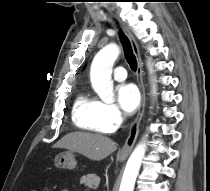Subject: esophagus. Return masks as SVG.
<instances>
[{
	"label": "esophagus",
	"mask_w": 210,
	"mask_h": 191,
	"mask_svg": "<svg viewBox=\"0 0 210 191\" xmlns=\"http://www.w3.org/2000/svg\"><path fill=\"white\" fill-rule=\"evenodd\" d=\"M121 25H122V29H123L124 33L130 40L134 55L137 60V84H138V87H139L140 93H141V104H140L139 112L130 127L129 136H128L125 144L118 152L119 156H128L130 154V152L132 151L134 144L136 142L137 136L139 134V125H140V122H141V119L143 117L144 110H145L146 93H145V87H144V83H143V62H142V59L140 56L138 44L135 40L134 35L129 30V28L125 24H121Z\"/></svg>",
	"instance_id": "1"
}]
</instances>
